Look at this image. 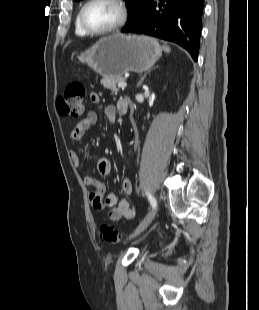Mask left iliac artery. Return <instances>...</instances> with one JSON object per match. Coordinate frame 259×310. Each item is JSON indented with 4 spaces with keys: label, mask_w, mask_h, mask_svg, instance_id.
Here are the masks:
<instances>
[{
    "label": "left iliac artery",
    "mask_w": 259,
    "mask_h": 310,
    "mask_svg": "<svg viewBox=\"0 0 259 310\" xmlns=\"http://www.w3.org/2000/svg\"><path fill=\"white\" fill-rule=\"evenodd\" d=\"M146 195L148 196V199H149V202H150L151 206L153 208L156 207V200H155V198L148 191H146Z\"/></svg>",
    "instance_id": "1"
}]
</instances>
